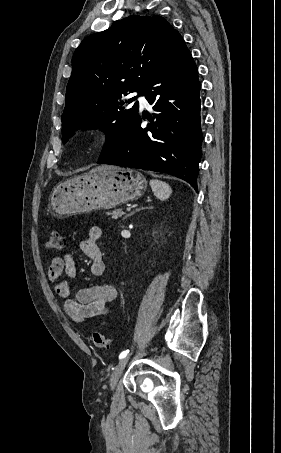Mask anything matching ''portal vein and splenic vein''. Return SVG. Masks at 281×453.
<instances>
[{
	"mask_svg": "<svg viewBox=\"0 0 281 453\" xmlns=\"http://www.w3.org/2000/svg\"><path fill=\"white\" fill-rule=\"evenodd\" d=\"M133 207H134L133 205H132L131 207H130V206L127 207V209H126L127 212H129V213L132 212V210H133L132 208H133ZM135 207L137 208L138 206L136 205Z\"/></svg>",
	"mask_w": 281,
	"mask_h": 453,
	"instance_id": "portal-vein-and-splenic-vein-1",
	"label": "portal vein and splenic vein"
}]
</instances>
